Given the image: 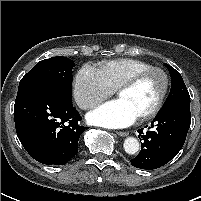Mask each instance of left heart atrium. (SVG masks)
I'll return each instance as SVG.
<instances>
[{"label": "left heart atrium", "instance_id": "39dd6f15", "mask_svg": "<svg viewBox=\"0 0 201 201\" xmlns=\"http://www.w3.org/2000/svg\"><path fill=\"white\" fill-rule=\"evenodd\" d=\"M135 112L121 99L103 104L88 114L89 122L106 128H124L137 120Z\"/></svg>", "mask_w": 201, "mask_h": 201}]
</instances>
